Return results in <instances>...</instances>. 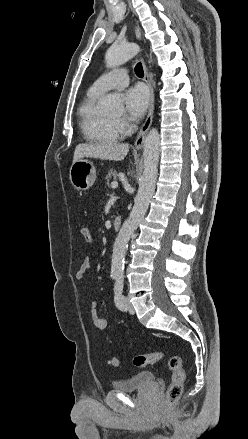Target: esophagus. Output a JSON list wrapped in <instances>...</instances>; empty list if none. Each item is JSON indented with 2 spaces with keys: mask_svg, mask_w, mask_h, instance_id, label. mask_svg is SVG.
<instances>
[{
  "mask_svg": "<svg viewBox=\"0 0 248 439\" xmlns=\"http://www.w3.org/2000/svg\"><path fill=\"white\" fill-rule=\"evenodd\" d=\"M136 37L138 40H141V38H142V32H141V29H140L138 24L136 25ZM142 65H143V70H144V81L149 89V109H148L147 118H146L145 122L143 123V125L138 133V136L136 138V141L134 143V147L136 149L142 148L146 134H147L149 128L151 127V124L153 121L154 101H155L152 79L150 77L148 68H147L143 59H142Z\"/></svg>",
  "mask_w": 248,
  "mask_h": 439,
  "instance_id": "1",
  "label": "esophagus"
}]
</instances>
